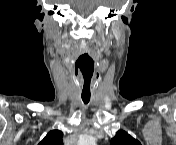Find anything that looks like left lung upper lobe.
Returning a JSON list of instances; mask_svg holds the SVG:
<instances>
[{
    "label": "left lung upper lobe",
    "mask_w": 176,
    "mask_h": 145,
    "mask_svg": "<svg viewBox=\"0 0 176 145\" xmlns=\"http://www.w3.org/2000/svg\"><path fill=\"white\" fill-rule=\"evenodd\" d=\"M111 145H140L139 141L130 136L127 132L120 130L111 139Z\"/></svg>",
    "instance_id": "5c2ea615"
}]
</instances>
